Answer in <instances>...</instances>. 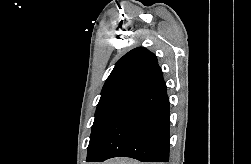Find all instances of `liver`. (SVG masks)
Here are the masks:
<instances>
[{"instance_id":"obj_1","label":"liver","mask_w":251,"mask_h":164,"mask_svg":"<svg viewBox=\"0 0 251 164\" xmlns=\"http://www.w3.org/2000/svg\"><path fill=\"white\" fill-rule=\"evenodd\" d=\"M103 164H141L137 161H133L131 159H126V158H116V159H112L110 161H107Z\"/></svg>"}]
</instances>
